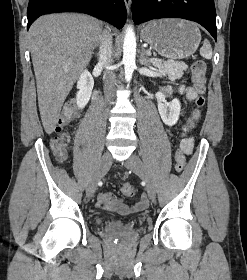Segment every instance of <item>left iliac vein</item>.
Here are the masks:
<instances>
[{
    "label": "left iliac vein",
    "mask_w": 247,
    "mask_h": 280,
    "mask_svg": "<svg viewBox=\"0 0 247 280\" xmlns=\"http://www.w3.org/2000/svg\"><path fill=\"white\" fill-rule=\"evenodd\" d=\"M124 165L130 169L132 172L137 174L138 176L142 177L146 182V191L150 199H155L156 197V188L155 185L148 175L141 159L135 155L132 154L127 161L124 162Z\"/></svg>",
    "instance_id": "4c4485c4"
}]
</instances>
